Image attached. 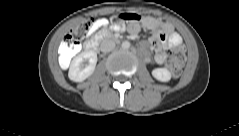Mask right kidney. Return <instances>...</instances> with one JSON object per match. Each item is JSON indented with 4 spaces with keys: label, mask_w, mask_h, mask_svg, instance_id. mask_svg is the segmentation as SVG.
Returning <instances> with one entry per match:
<instances>
[{
    "label": "right kidney",
    "mask_w": 239,
    "mask_h": 136,
    "mask_svg": "<svg viewBox=\"0 0 239 136\" xmlns=\"http://www.w3.org/2000/svg\"><path fill=\"white\" fill-rule=\"evenodd\" d=\"M97 54L94 51H84L71 62L68 77L74 82H82L95 70Z\"/></svg>",
    "instance_id": "obj_1"
}]
</instances>
